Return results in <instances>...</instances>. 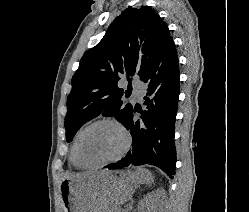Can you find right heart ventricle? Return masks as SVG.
Returning <instances> with one entry per match:
<instances>
[{
  "mask_svg": "<svg viewBox=\"0 0 249 212\" xmlns=\"http://www.w3.org/2000/svg\"><path fill=\"white\" fill-rule=\"evenodd\" d=\"M75 141V139H74ZM74 141L71 144L70 150H69V163L70 165L75 168V169H80L81 167L76 163L75 159H74V155H73V145H74Z\"/></svg>",
  "mask_w": 249,
  "mask_h": 212,
  "instance_id": "right-heart-ventricle-1",
  "label": "right heart ventricle"
}]
</instances>
